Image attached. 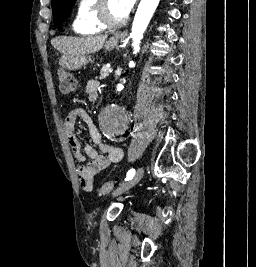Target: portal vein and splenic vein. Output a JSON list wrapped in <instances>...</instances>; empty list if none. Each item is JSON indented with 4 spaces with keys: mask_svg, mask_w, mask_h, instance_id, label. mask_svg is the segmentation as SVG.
<instances>
[{
    "mask_svg": "<svg viewBox=\"0 0 256 267\" xmlns=\"http://www.w3.org/2000/svg\"><path fill=\"white\" fill-rule=\"evenodd\" d=\"M108 71H113V68H108Z\"/></svg>",
    "mask_w": 256,
    "mask_h": 267,
    "instance_id": "1",
    "label": "portal vein and splenic vein"
}]
</instances>
